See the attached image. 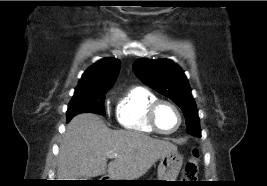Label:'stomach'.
Instances as JSON below:
<instances>
[{"label": "stomach", "instance_id": "1", "mask_svg": "<svg viewBox=\"0 0 267 186\" xmlns=\"http://www.w3.org/2000/svg\"><path fill=\"white\" fill-rule=\"evenodd\" d=\"M183 164V156L178 151L169 152L160 158L157 181H176ZM168 183V182H160Z\"/></svg>", "mask_w": 267, "mask_h": 186}]
</instances>
